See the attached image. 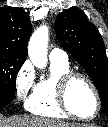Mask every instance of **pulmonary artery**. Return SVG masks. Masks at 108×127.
Listing matches in <instances>:
<instances>
[{
    "label": "pulmonary artery",
    "instance_id": "obj_1",
    "mask_svg": "<svg viewBox=\"0 0 108 127\" xmlns=\"http://www.w3.org/2000/svg\"><path fill=\"white\" fill-rule=\"evenodd\" d=\"M49 59L53 62H68V55L67 53L59 48H53L49 53Z\"/></svg>",
    "mask_w": 108,
    "mask_h": 127
}]
</instances>
